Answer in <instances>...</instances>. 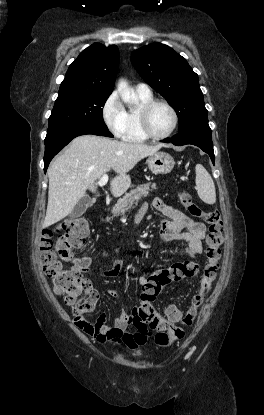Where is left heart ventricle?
<instances>
[{"mask_svg": "<svg viewBox=\"0 0 264 415\" xmlns=\"http://www.w3.org/2000/svg\"><path fill=\"white\" fill-rule=\"evenodd\" d=\"M172 123V113L165 106L158 105L151 110L149 114V125L154 134H165L171 128Z\"/></svg>", "mask_w": 264, "mask_h": 415, "instance_id": "1", "label": "left heart ventricle"}]
</instances>
